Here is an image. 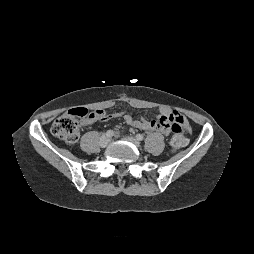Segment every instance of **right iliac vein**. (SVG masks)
Returning <instances> with one entry per match:
<instances>
[{
  "label": "right iliac vein",
  "mask_w": 254,
  "mask_h": 254,
  "mask_svg": "<svg viewBox=\"0 0 254 254\" xmlns=\"http://www.w3.org/2000/svg\"><path fill=\"white\" fill-rule=\"evenodd\" d=\"M109 142H110V138L107 137V136H103V137L101 138V140H100V145H101L102 147H106V146L109 144Z\"/></svg>",
  "instance_id": "63e3f726"
}]
</instances>
